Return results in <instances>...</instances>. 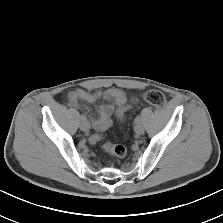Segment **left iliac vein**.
Returning <instances> with one entry per match:
<instances>
[{"label": "left iliac vein", "instance_id": "left-iliac-vein-1", "mask_svg": "<svg viewBox=\"0 0 223 223\" xmlns=\"http://www.w3.org/2000/svg\"><path fill=\"white\" fill-rule=\"evenodd\" d=\"M134 131L135 133L140 136L144 133V127L143 125L139 122L134 126Z\"/></svg>", "mask_w": 223, "mask_h": 223}]
</instances>
